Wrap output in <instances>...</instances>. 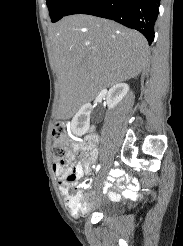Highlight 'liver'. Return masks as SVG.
<instances>
[{"instance_id": "1", "label": "liver", "mask_w": 183, "mask_h": 246, "mask_svg": "<svg viewBox=\"0 0 183 246\" xmlns=\"http://www.w3.org/2000/svg\"><path fill=\"white\" fill-rule=\"evenodd\" d=\"M49 34L66 118L101 89L137 77L149 54L142 34L91 15L65 17Z\"/></svg>"}]
</instances>
